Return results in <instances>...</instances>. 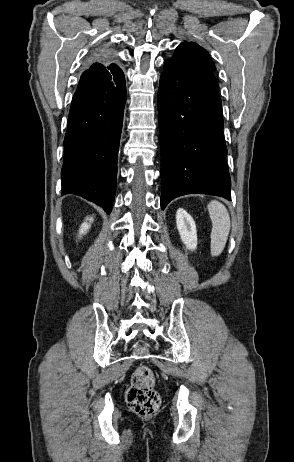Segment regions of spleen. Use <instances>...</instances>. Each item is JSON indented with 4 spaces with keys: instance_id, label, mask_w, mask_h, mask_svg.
<instances>
[{
    "instance_id": "spleen-1",
    "label": "spleen",
    "mask_w": 294,
    "mask_h": 462,
    "mask_svg": "<svg viewBox=\"0 0 294 462\" xmlns=\"http://www.w3.org/2000/svg\"><path fill=\"white\" fill-rule=\"evenodd\" d=\"M208 211L212 221L211 254L218 256L223 251L228 238L230 217L226 207L216 200L208 204Z\"/></svg>"
}]
</instances>
